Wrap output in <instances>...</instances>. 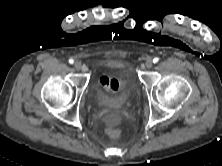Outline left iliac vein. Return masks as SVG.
I'll list each match as a JSON object with an SVG mask.
<instances>
[{"mask_svg":"<svg viewBox=\"0 0 222 166\" xmlns=\"http://www.w3.org/2000/svg\"><path fill=\"white\" fill-rule=\"evenodd\" d=\"M145 66L147 68H151L153 66V61L152 59H148L146 62H145Z\"/></svg>","mask_w":222,"mask_h":166,"instance_id":"1","label":"left iliac vein"}]
</instances>
